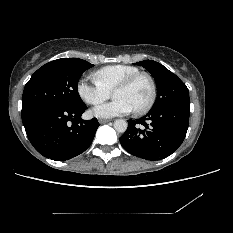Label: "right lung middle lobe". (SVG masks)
<instances>
[{"label": "right lung middle lobe", "mask_w": 233, "mask_h": 233, "mask_svg": "<svg viewBox=\"0 0 233 233\" xmlns=\"http://www.w3.org/2000/svg\"><path fill=\"white\" fill-rule=\"evenodd\" d=\"M93 66L78 58H61L43 65L25 85L21 113L43 105L81 106L84 103L77 91L78 81Z\"/></svg>", "instance_id": "1"}]
</instances>
